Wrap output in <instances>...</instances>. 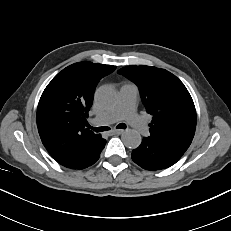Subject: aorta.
<instances>
[{
  "label": "aorta",
  "mask_w": 231,
  "mask_h": 231,
  "mask_svg": "<svg viewBox=\"0 0 231 231\" xmlns=\"http://www.w3.org/2000/svg\"><path fill=\"white\" fill-rule=\"evenodd\" d=\"M95 100L99 105L103 107L112 106L116 103L117 100L116 90L111 86H101L96 91ZM122 140L125 146L130 149L139 147L142 142L141 135L136 130L125 131L122 135Z\"/></svg>",
  "instance_id": "1"
}]
</instances>
